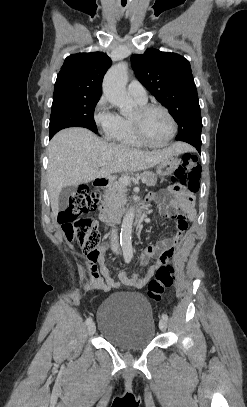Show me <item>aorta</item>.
<instances>
[{"instance_id": "aorta-1", "label": "aorta", "mask_w": 247, "mask_h": 407, "mask_svg": "<svg viewBox=\"0 0 247 407\" xmlns=\"http://www.w3.org/2000/svg\"><path fill=\"white\" fill-rule=\"evenodd\" d=\"M128 80V65L119 63L112 67L103 80V93L108 101L118 107L123 115L128 114L132 109V100L126 92ZM135 215L134 207L129 208L125 214L120 234V243L124 256H132V225Z\"/></svg>"}]
</instances>
